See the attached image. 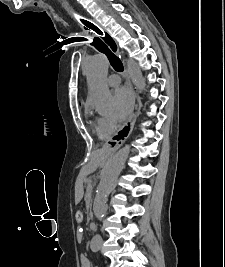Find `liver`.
<instances>
[{"instance_id":"obj_1","label":"liver","mask_w":225,"mask_h":267,"mask_svg":"<svg viewBox=\"0 0 225 267\" xmlns=\"http://www.w3.org/2000/svg\"><path fill=\"white\" fill-rule=\"evenodd\" d=\"M103 162V158L101 156V151H95L92 153L91 156V161L90 163L84 168V172L88 173V172H92L94 170H96ZM83 196V189L81 186H77L76 187V194H75V199H76V203H78L81 198Z\"/></svg>"}]
</instances>
